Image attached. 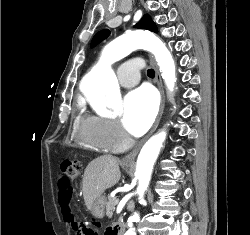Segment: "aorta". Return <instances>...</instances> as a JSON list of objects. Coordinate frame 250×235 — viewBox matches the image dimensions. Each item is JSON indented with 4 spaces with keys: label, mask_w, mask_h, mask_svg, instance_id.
Wrapping results in <instances>:
<instances>
[{
    "label": "aorta",
    "mask_w": 250,
    "mask_h": 235,
    "mask_svg": "<svg viewBox=\"0 0 250 235\" xmlns=\"http://www.w3.org/2000/svg\"><path fill=\"white\" fill-rule=\"evenodd\" d=\"M134 49L150 51L160 67L162 78L167 88L173 91L175 77V63L166 45L155 35L147 31H134L123 38L113 40L107 44L101 55L99 65L85 78L83 92L92 105H109L117 107L120 103V90L117 77L110 65ZM166 132L162 131L152 136L142 147L137 159L136 177L138 178L137 194L143 200L149 185L154 163L159 155ZM140 215L134 213L129 217V223L139 222ZM124 235H136L135 229L130 227Z\"/></svg>",
    "instance_id": "1"
}]
</instances>
